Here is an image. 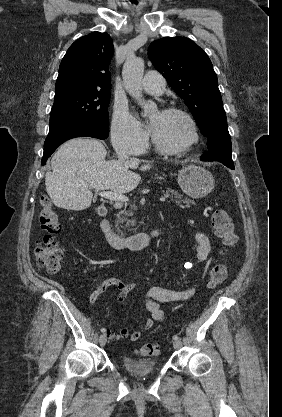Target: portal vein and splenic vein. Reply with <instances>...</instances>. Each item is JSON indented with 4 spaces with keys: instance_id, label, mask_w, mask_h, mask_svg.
Returning <instances> with one entry per match:
<instances>
[{
    "instance_id": "1",
    "label": "portal vein and splenic vein",
    "mask_w": 282,
    "mask_h": 417,
    "mask_svg": "<svg viewBox=\"0 0 282 417\" xmlns=\"http://www.w3.org/2000/svg\"><path fill=\"white\" fill-rule=\"evenodd\" d=\"M98 194H100V196H103V198H109V200H121V202H126V200H128V196H126V194H123V192H111V190H100ZM160 202L168 203L169 199L166 195H163L162 198H160Z\"/></svg>"
}]
</instances>
